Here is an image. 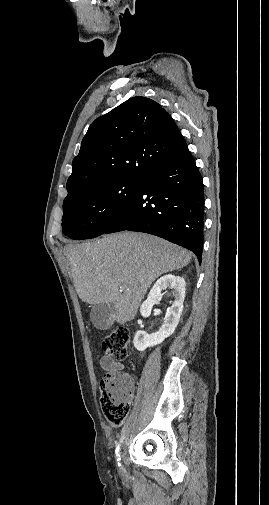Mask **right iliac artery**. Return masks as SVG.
Masks as SVG:
<instances>
[{
  "label": "right iliac artery",
  "instance_id": "82829eb1",
  "mask_svg": "<svg viewBox=\"0 0 269 505\" xmlns=\"http://www.w3.org/2000/svg\"><path fill=\"white\" fill-rule=\"evenodd\" d=\"M115 454H116V456H117L118 466H120V465H121V464L119 463V461H120V445H118V446L116 447Z\"/></svg>",
  "mask_w": 269,
  "mask_h": 505
}]
</instances>
